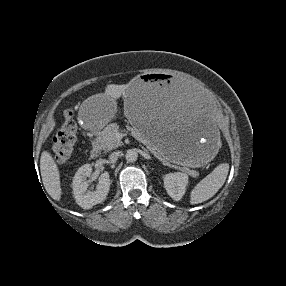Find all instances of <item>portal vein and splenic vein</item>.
Returning a JSON list of instances; mask_svg holds the SVG:
<instances>
[{
    "label": "portal vein and splenic vein",
    "mask_w": 286,
    "mask_h": 286,
    "mask_svg": "<svg viewBox=\"0 0 286 286\" xmlns=\"http://www.w3.org/2000/svg\"><path fill=\"white\" fill-rule=\"evenodd\" d=\"M118 135V137H120L121 135L120 134H117Z\"/></svg>",
    "instance_id": "obj_1"
}]
</instances>
